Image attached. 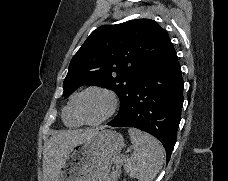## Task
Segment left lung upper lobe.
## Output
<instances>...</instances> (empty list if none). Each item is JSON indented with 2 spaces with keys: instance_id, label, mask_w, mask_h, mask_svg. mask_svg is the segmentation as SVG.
<instances>
[{
  "instance_id": "obj_1",
  "label": "left lung upper lobe",
  "mask_w": 228,
  "mask_h": 181,
  "mask_svg": "<svg viewBox=\"0 0 228 181\" xmlns=\"http://www.w3.org/2000/svg\"><path fill=\"white\" fill-rule=\"evenodd\" d=\"M169 43L167 32L151 19L100 26L73 56L63 93L67 97L86 84L112 89L120 110L111 122L118 121L139 74Z\"/></svg>"
}]
</instances>
